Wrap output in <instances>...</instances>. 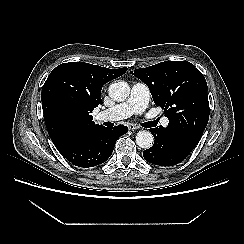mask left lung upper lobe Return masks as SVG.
Instances as JSON below:
<instances>
[{"label": "left lung upper lobe", "mask_w": 244, "mask_h": 244, "mask_svg": "<svg viewBox=\"0 0 244 244\" xmlns=\"http://www.w3.org/2000/svg\"><path fill=\"white\" fill-rule=\"evenodd\" d=\"M132 74L149 87L154 103L169 119L166 130L199 142L209 119L207 83L188 61H166Z\"/></svg>", "instance_id": "obj_1"}]
</instances>
